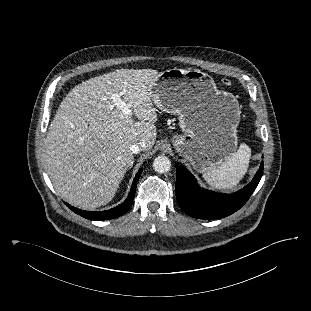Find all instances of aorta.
<instances>
[{
	"instance_id": "obj_1",
	"label": "aorta",
	"mask_w": 311,
	"mask_h": 311,
	"mask_svg": "<svg viewBox=\"0 0 311 311\" xmlns=\"http://www.w3.org/2000/svg\"><path fill=\"white\" fill-rule=\"evenodd\" d=\"M153 168L158 173H166L171 168V161L167 156L160 155L154 159Z\"/></svg>"
}]
</instances>
